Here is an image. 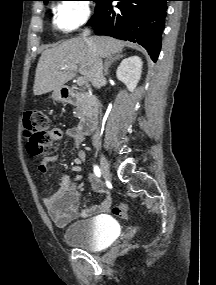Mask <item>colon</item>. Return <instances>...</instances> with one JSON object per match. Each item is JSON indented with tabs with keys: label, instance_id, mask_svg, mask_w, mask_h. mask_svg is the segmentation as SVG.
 Instances as JSON below:
<instances>
[{
	"label": "colon",
	"instance_id": "1",
	"mask_svg": "<svg viewBox=\"0 0 216 285\" xmlns=\"http://www.w3.org/2000/svg\"><path fill=\"white\" fill-rule=\"evenodd\" d=\"M49 119L45 113L39 110H31L24 113L23 133L27 138V148L31 155L41 153L48 142ZM115 216L121 219H128L130 206L122 202L112 209Z\"/></svg>",
	"mask_w": 216,
	"mask_h": 285
}]
</instances>
